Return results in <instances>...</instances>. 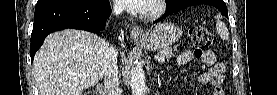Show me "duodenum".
<instances>
[{
    "label": "duodenum",
    "instance_id": "duodenum-1",
    "mask_svg": "<svg viewBox=\"0 0 277 95\" xmlns=\"http://www.w3.org/2000/svg\"><path fill=\"white\" fill-rule=\"evenodd\" d=\"M104 92H105V89L102 85L97 88V93L98 94L104 95L105 94Z\"/></svg>",
    "mask_w": 277,
    "mask_h": 95
}]
</instances>
